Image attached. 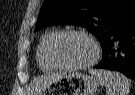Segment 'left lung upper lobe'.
<instances>
[{
  "instance_id": "left-lung-upper-lobe-1",
  "label": "left lung upper lobe",
  "mask_w": 135,
  "mask_h": 95,
  "mask_svg": "<svg viewBox=\"0 0 135 95\" xmlns=\"http://www.w3.org/2000/svg\"><path fill=\"white\" fill-rule=\"evenodd\" d=\"M134 15L135 0H45L36 31L48 25H79L102 44Z\"/></svg>"
}]
</instances>
